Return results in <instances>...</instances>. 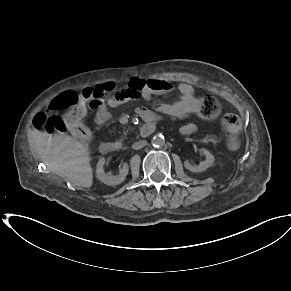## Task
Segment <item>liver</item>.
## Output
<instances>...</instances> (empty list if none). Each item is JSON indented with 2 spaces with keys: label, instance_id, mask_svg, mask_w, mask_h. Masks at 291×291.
<instances>
[{
  "label": "liver",
  "instance_id": "obj_1",
  "mask_svg": "<svg viewBox=\"0 0 291 291\" xmlns=\"http://www.w3.org/2000/svg\"><path fill=\"white\" fill-rule=\"evenodd\" d=\"M31 152L55 174L76 186L89 188L93 184L88 147L65 134L31 131L28 135Z\"/></svg>",
  "mask_w": 291,
  "mask_h": 291
}]
</instances>
